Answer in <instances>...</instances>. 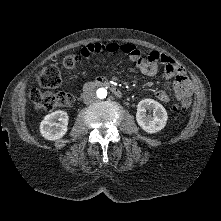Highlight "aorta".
<instances>
[{"label":"aorta","mask_w":221,"mask_h":221,"mask_svg":"<svg viewBox=\"0 0 221 221\" xmlns=\"http://www.w3.org/2000/svg\"><path fill=\"white\" fill-rule=\"evenodd\" d=\"M96 93L97 97L100 99H104L107 96V90L105 88H99Z\"/></svg>","instance_id":"aorta-1"}]
</instances>
